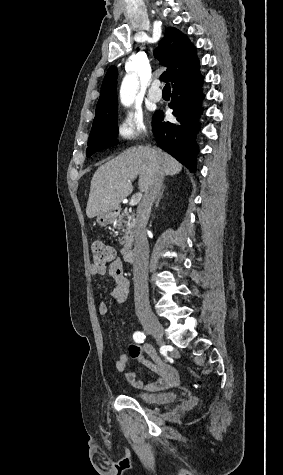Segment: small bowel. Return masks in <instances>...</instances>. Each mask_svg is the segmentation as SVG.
Instances as JSON below:
<instances>
[{
    "instance_id": "1",
    "label": "small bowel",
    "mask_w": 283,
    "mask_h": 475,
    "mask_svg": "<svg viewBox=\"0 0 283 475\" xmlns=\"http://www.w3.org/2000/svg\"><path fill=\"white\" fill-rule=\"evenodd\" d=\"M88 272L91 276H103L109 274L113 280L111 297L117 305H124L129 295V281L123 273V263L121 259L115 258L108 264L91 263L88 266ZM98 314L106 316L108 314V305L105 302L98 304ZM147 354V357L144 355ZM137 360L142 366L149 369L156 375V379L151 382H145L138 378L135 369L125 372L129 359ZM118 372H125L126 381L134 388H145L148 390H161L175 387L179 384V374L171 365L164 362L155 349L150 345L141 346L132 343L128 348V353H121L114 363Z\"/></svg>"
}]
</instances>
